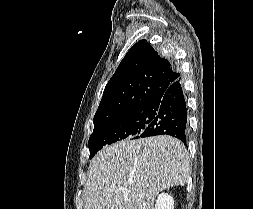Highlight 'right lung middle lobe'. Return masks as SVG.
Here are the masks:
<instances>
[{
    "label": "right lung middle lobe",
    "instance_id": "1",
    "mask_svg": "<svg viewBox=\"0 0 253 209\" xmlns=\"http://www.w3.org/2000/svg\"><path fill=\"white\" fill-rule=\"evenodd\" d=\"M156 111L150 105L132 108L118 116L94 121V130L88 142L91 159L105 145L125 138L138 139L153 121Z\"/></svg>",
    "mask_w": 253,
    "mask_h": 209
}]
</instances>
